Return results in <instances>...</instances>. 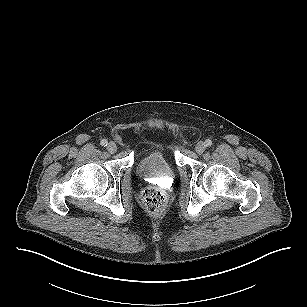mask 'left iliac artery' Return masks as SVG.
I'll return each mask as SVG.
<instances>
[{"label": "left iliac artery", "mask_w": 307, "mask_h": 307, "mask_svg": "<svg viewBox=\"0 0 307 307\" xmlns=\"http://www.w3.org/2000/svg\"><path fill=\"white\" fill-rule=\"evenodd\" d=\"M205 145H206L207 147H210V146L212 145V141H211L210 139H207V140L205 141Z\"/></svg>", "instance_id": "44dca946"}]
</instances>
